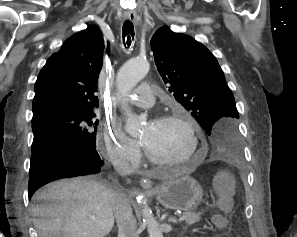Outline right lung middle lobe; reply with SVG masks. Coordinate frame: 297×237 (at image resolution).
Masks as SVG:
<instances>
[{"label": "right lung middle lobe", "mask_w": 297, "mask_h": 237, "mask_svg": "<svg viewBox=\"0 0 297 237\" xmlns=\"http://www.w3.org/2000/svg\"><path fill=\"white\" fill-rule=\"evenodd\" d=\"M93 112H55L32 121L33 143L51 138H66L87 147H95L98 120Z\"/></svg>", "instance_id": "1"}]
</instances>
